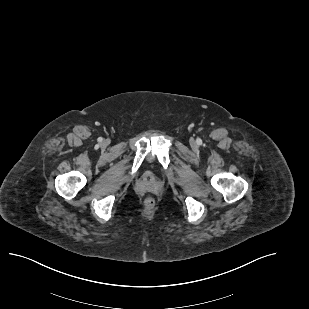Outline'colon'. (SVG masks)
Returning <instances> with one entry per match:
<instances>
[{
  "instance_id": "colon-1",
  "label": "colon",
  "mask_w": 309,
  "mask_h": 309,
  "mask_svg": "<svg viewBox=\"0 0 309 309\" xmlns=\"http://www.w3.org/2000/svg\"><path fill=\"white\" fill-rule=\"evenodd\" d=\"M155 205V200L151 197L146 198L145 206L148 208H152Z\"/></svg>"
}]
</instances>
